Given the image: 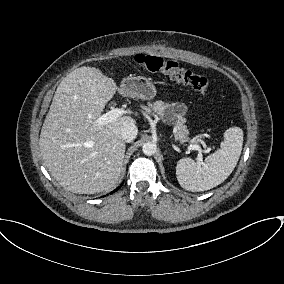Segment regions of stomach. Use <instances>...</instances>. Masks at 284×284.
I'll return each instance as SVG.
<instances>
[{
	"label": "stomach",
	"mask_w": 284,
	"mask_h": 284,
	"mask_svg": "<svg viewBox=\"0 0 284 284\" xmlns=\"http://www.w3.org/2000/svg\"><path fill=\"white\" fill-rule=\"evenodd\" d=\"M120 87L124 94L144 100L152 99L156 95L155 86L143 76L124 78Z\"/></svg>",
	"instance_id": "0dacf381"
}]
</instances>
